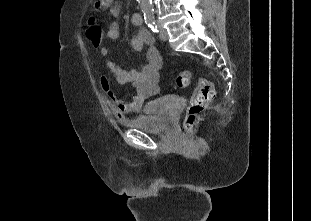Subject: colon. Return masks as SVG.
Listing matches in <instances>:
<instances>
[{
  "label": "colon",
  "instance_id": "obj_1",
  "mask_svg": "<svg viewBox=\"0 0 311 221\" xmlns=\"http://www.w3.org/2000/svg\"><path fill=\"white\" fill-rule=\"evenodd\" d=\"M87 36L95 49L102 47L103 28L100 24L93 21L88 23ZM190 72L188 70L181 72L176 77V86L187 87L190 84ZM215 95L211 82L200 79L195 92L189 102L187 117L185 121L186 129L189 130L196 123L198 116L204 111L206 106L213 100ZM188 139V136H185Z\"/></svg>",
  "mask_w": 311,
  "mask_h": 221
}]
</instances>
